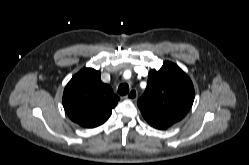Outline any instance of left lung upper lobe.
Instances as JSON below:
<instances>
[{
	"label": "left lung upper lobe",
	"mask_w": 249,
	"mask_h": 165,
	"mask_svg": "<svg viewBox=\"0 0 249 165\" xmlns=\"http://www.w3.org/2000/svg\"><path fill=\"white\" fill-rule=\"evenodd\" d=\"M193 101L194 87L189 77L166 61L159 70L149 72L145 93L137 104L151 126L166 129L187 114Z\"/></svg>",
	"instance_id": "1"
}]
</instances>
